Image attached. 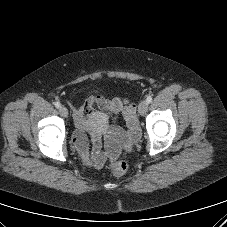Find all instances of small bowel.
Masks as SVG:
<instances>
[{
    "label": "small bowel",
    "mask_w": 227,
    "mask_h": 227,
    "mask_svg": "<svg viewBox=\"0 0 227 227\" xmlns=\"http://www.w3.org/2000/svg\"><path fill=\"white\" fill-rule=\"evenodd\" d=\"M94 105L99 111H93ZM135 111V105L129 101L106 99L99 95L88 99L76 111L75 121L79 131L74 144L85 163L102 169L107 158H117L121 145L126 149L131 148L132 143L140 137ZM120 115L125 120L127 130L110 123ZM104 143L106 151H103Z\"/></svg>",
    "instance_id": "obj_1"
}]
</instances>
